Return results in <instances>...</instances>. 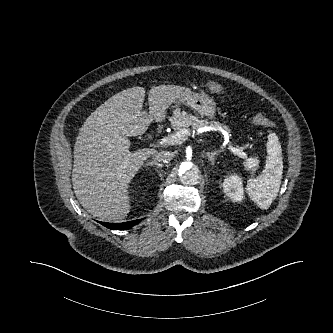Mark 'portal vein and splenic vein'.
<instances>
[{
  "instance_id": "obj_1",
  "label": "portal vein and splenic vein",
  "mask_w": 333,
  "mask_h": 333,
  "mask_svg": "<svg viewBox=\"0 0 333 333\" xmlns=\"http://www.w3.org/2000/svg\"><path fill=\"white\" fill-rule=\"evenodd\" d=\"M188 134L187 130H181L179 132H176L175 134L171 135L170 137H164L163 139H161V141L159 142L160 145H175V144H181L182 140L186 137V135ZM229 150L242 157V158H248L247 154L245 152H243V150L241 148H236L233 146H229Z\"/></svg>"
}]
</instances>
